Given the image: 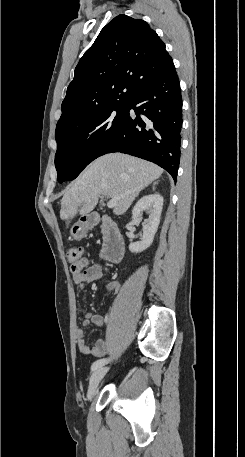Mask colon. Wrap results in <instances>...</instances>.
Returning a JSON list of instances; mask_svg holds the SVG:
<instances>
[{"mask_svg":"<svg viewBox=\"0 0 245 457\" xmlns=\"http://www.w3.org/2000/svg\"><path fill=\"white\" fill-rule=\"evenodd\" d=\"M67 255L74 270L81 271L84 268L86 261L83 256L82 248L71 247L68 250Z\"/></svg>","mask_w":245,"mask_h":457,"instance_id":"colon-1","label":"colon"}]
</instances>
